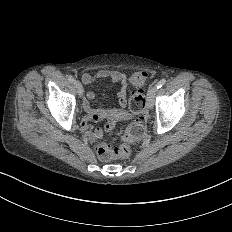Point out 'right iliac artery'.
<instances>
[{
  "label": "right iliac artery",
  "mask_w": 232,
  "mask_h": 232,
  "mask_svg": "<svg viewBox=\"0 0 232 232\" xmlns=\"http://www.w3.org/2000/svg\"><path fill=\"white\" fill-rule=\"evenodd\" d=\"M68 80H69L70 83H75V79L72 76H69Z\"/></svg>",
  "instance_id": "1"
}]
</instances>
